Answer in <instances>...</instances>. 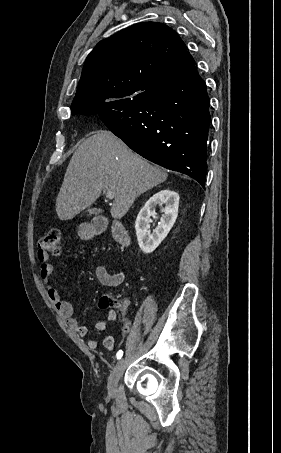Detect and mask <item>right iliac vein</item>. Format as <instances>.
Returning <instances> with one entry per match:
<instances>
[{
    "label": "right iliac vein",
    "instance_id": "obj_1",
    "mask_svg": "<svg viewBox=\"0 0 281 453\" xmlns=\"http://www.w3.org/2000/svg\"><path fill=\"white\" fill-rule=\"evenodd\" d=\"M125 367L123 360H118V365L116 369L113 370V374L108 378V392L109 393H114L116 388H117V381L119 379V376L122 375V372H124Z\"/></svg>",
    "mask_w": 281,
    "mask_h": 453
}]
</instances>
